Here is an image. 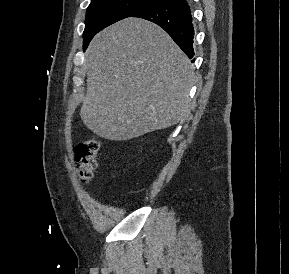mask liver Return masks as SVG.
<instances>
[{
	"instance_id": "6515ba94",
	"label": "liver",
	"mask_w": 289,
	"mask_h": 274,
	"mask_svg": "<svg viewBox=\"0 0 289 274\" xmlns=\"http://www.w3.org/2000/svg\"><path fill=\"white\" fill-rule=\"evenodd\" d=\"M84 66L80 116L104 139L130 140L173 126L189 113L192 64L151 22L127 18L102 30L89 44Z\"/></svg>"
}]
</instances>
